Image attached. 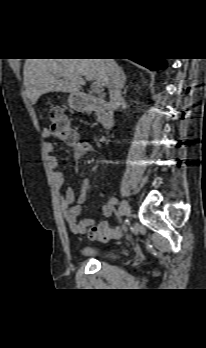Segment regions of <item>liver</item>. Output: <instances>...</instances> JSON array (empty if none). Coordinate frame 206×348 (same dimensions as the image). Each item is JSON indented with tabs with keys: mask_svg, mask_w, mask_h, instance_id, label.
Returning a JSON list of instances; mask_svg holds the SVG:
<instances>
[{
	"mask_svg": "<svg viewBox=\"0 0 206 348\" xmlns=\"http://www.w3.org/2000/svg\"><path fill=\"white\" fill-rule=\"evenodd\" d=\"M23 75L32 104L48 92L78 94L81 76L105 87L109 83L106 59H26Z\"/></svg>",
	"mask_w": 206,
	"mask_h": 348,
	"instance_id": "1",
	"label": "liver"
}]
</instances>
